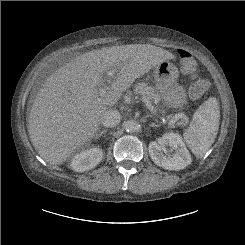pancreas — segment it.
<instances>
[{"label":"pancreas","instance_id":"pancreas-1","mask_svg":"<svg viewBox=\"0 0 245 245\" xmlns=\"http://www.w3.org/2000/svg\"><path fill=\"white\" fill-rule=\"evenodd\" d=\"M134 94L140 95L154 102L159 101V94L157 90L152 86H148V84L145 82H139L134 86ZM184 121L187 122L188 120Z\"/></svg>","mask_w":245,"mask_h":245}]
</instances>
